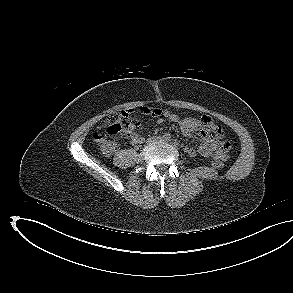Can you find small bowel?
<instances>
[{
  "label": "small bowel",
  "mask_w": 293,
  "mask_h": 293,
  "mask_svg": "<svg viewBox=\"0 0 293 293\" xmlns=\"http://www.w3.org/2000/svg\"><path fill=\"white\" fill-rule=\"evenodd\" d=\"M142 114L151 115L157 118V122H163L167 119L179 125L183 135L193 137L199 135L202 143L199 146L191 147L188 153L191 156L213 157L214 159L224 160L228 157L229 142L224 138L221 127L216 125L209 116H202L200 119L194 117L181 118L169 110L142 106L138 109ZM144 141L141 133H134L130 142L134 145Z\"/></svg>",
  "instance_id": "c3829d8e"
}]
</instances>
